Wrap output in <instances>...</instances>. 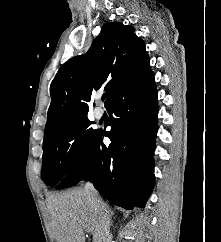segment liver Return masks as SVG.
<instances>
[{
	"instance_id": "1",
	"label": "liver",
	"mask_w": 221,
	"mask_h": 242,
	"mask_svg": "<svg viewBox=\"0 0 221 242\" xmlns=\"http://www.w3.org/2000/svg\"><path fill=\"white\" fill-rule=\"evenodd\" d=\"M48 232L56 242H85L84 229L95 242L97 219L84 189L76 188L47 198Z\"/></svg>"
}]
</instances>
